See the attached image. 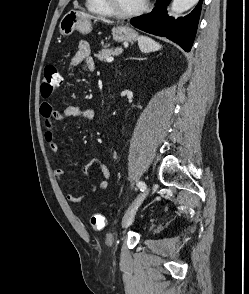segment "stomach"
I'll use <instances>...</instances> for the list:
<instances>
[{
    "mask_svg": "<svg viewBox=\"0 0 249 294\" xmlns=\"http://www.w3.org/2000/svg\"><path fill=\"white\" fill-rule=\"evenodd\" d=\"M75 30L88 34L92 30L91 18L78 11H69L60 21L59 31L64 36L71 35ZM112 36L116 42H133L138 36L134 29L128 26H116L112 29Z\"/></svg>",
    "mask_w": 249,
    "mask_h": 294,
    "instance_id": "0dacf381",
    "label": "stomach"
}]
</instances>
